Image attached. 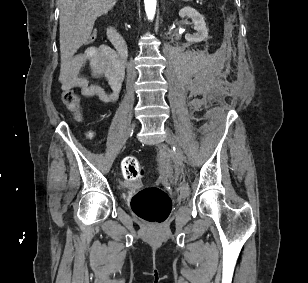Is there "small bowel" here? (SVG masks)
<instances>
[{"label": "small bowel", "instance_id": "c3829d8e", "mask_svg": "<svg viewBox=\"0 0 308 283\" xmlns=\"http://www.w3.org/2000/svg\"><path fill=\"white\" fill-rule=\"evenodd\" d=\"M88 63L93 77H105L110 91L90 82L80 75L82 67ZM64 73L74 87L86 97H93L105 103L117 101L122 89L124 70L115 52L106 45L88 47L64 65Z\"/></svg>", "mask_w": 308, "mask_h": 283}]
</instances>
